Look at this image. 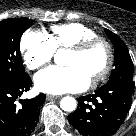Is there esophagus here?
<instances>
[{"label": "esophagus", "mask_w": 136, "mask_h": 136, "mask_svg": "<svg viewBox=\"0 0 136 136\" xmlns=\"http://www.w3.org/2000/svg\"><path fill=\"white\" fill-rule=\"evenodd\" d=\"M60 98V96H56V95H47L46 96V99L49 101V100H54V99H58Z\"/></svg>", "instance_id": "obj_1"}]
</instances>
